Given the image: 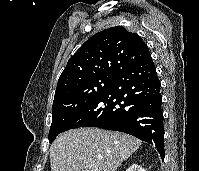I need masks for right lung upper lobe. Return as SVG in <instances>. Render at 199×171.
I'll use <instances>...</instances> for the list:
<instances>
[{"instance_id":"1","label":"right lung upper lobe","mask_w":199,"mask_h":171,"mask_svg":"<svg viewBox=\"0 0 199 171\" xmlns=\"http://www.w3.org/2000/svg\"><path fill=\"white\" fill-rule=\"evenodd\" d=\"M150 56L141 38L122 26L98 32L69 59L59 77L54 100L92 78L116 77L126 68Z\"/></svg>"}]
</instances>
